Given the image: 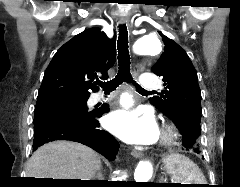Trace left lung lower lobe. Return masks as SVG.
Masks as SVG:
<instances>
[{
	"label": "left lung lower lobe",
	"mask_w": 240,
	"mask_h": 187,
	"mask_svg": "<svg viewBox=\"0 0 240 187\" xmlns=\"http://www.w3.org/2000/svg\"><path fill=\"white\" fill-rule=\"evenodd\" d=\"M182 134L183 145L187 149H192L195 152L199 153V141L192 130L180 129ZM198 141V142H197Z\"/></svg>",
	"instance_id": "1"
}]
</instances>
